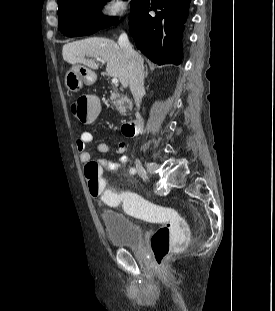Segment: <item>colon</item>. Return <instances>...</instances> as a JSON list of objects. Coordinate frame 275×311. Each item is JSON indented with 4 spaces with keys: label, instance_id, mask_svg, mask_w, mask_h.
<instances>
[{
    "label": "colon",
    "instance_id": "colon-1",
    "mask_svg": "<svg viewBox=\"0 0 275 311\" xmlns=\"http://www.w3.org/2000/svg\"><path fill=\"white\" fill-rule=\"evenodd\" d=\"M99 103V97H78L73 101L72 108L82 125H95L96 117L102 111ZM85 176L92 197H101L111 203L119 201L124 209L133 215L163 222L153 233L150 241L157 267L163 266L171 252L184 248L187 243V225L175 209L155 206L136 196L135 190L123 191L122 195L117 197H112L114 194L112 191L109 193L110 195H107L104 191L106 181L100 174L98 164L94 161L85 165Z\"/></svg>",
    "mask_w": 275,
    "mask_h": 311
}]
</instances>
